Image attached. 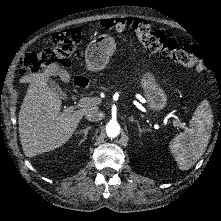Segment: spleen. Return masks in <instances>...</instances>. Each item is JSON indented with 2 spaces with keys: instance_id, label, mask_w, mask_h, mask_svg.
Returning <instances> with one entry per match:
<instances>
[{
  "instance_id": "obj_1",
  "label": "spleen",
  "mask_w": 221,
  "mask_h": 221,
  "mask_svg": "<svg viewBox=\"0 0 221 221\" xmlns=\"http://www.w3.org/2000/svg\"><path fill=\"white\" fill-rule=\"evenodd\" d=\"M212 127V110L205 100L196 108L189 127L170 142V151L180 170H189L204 154Z\"/></svg>"
}]
</instances>
